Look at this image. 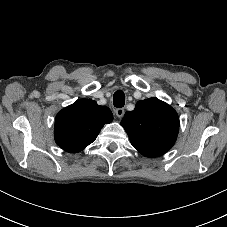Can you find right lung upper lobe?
<instances>
[{
    "instance_id": "cb5924a9",
    "label": "right lung upper lobe",
    "mask_w": 227,
    "mask_h": 227,
    "mask_svg": "<svg viewBox=\"0 0 227 227\" xmlns=\"http://www.w3.org/2000/svg\"><path fill=\"white\" fill-rule=\"evenodd\" d=\"M113 120L111 110L91 99H80L56 116L54 138L59 147L77 153L91 144L106 123Z\"/></svg>"
}]
</instances>
